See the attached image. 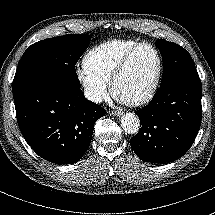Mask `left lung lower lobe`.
<instances>
[{
	"mask_svg": "<svg viewBox=\"0 0 215 215\" xmlns=\"http://www.w3.org/2000/svg\"><path fill=\"white\" fill-rule=\"evenodd\" d=\"M202 85L196 70L162 84L151 102L135 113L141 128L130 145L144 162L167 163L191 147L202 118Z\"/></svg>",
	"mask_w": 215,
	"mask_h": 215,
	"instance_id": "1",
	"label": "left lung lower lobe"
}]
</instances>
